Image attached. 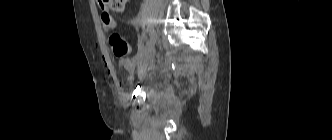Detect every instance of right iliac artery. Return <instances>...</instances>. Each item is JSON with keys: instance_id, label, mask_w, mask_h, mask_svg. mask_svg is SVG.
<instances>
[{"instance_id": "obj_1", "label": "right iliac artery", "mask_w": 332, "mask_h": 140, "mask_svg": "<svg viewBox=\"0 0 332 140\" xmlns=\"http://www.w3.org/2000/svg\"><path fill=\"white\" fill-rule=\"evenodd\" d=\"M147 41H148V35L144 34L142 37V40H141L139 52L137 53L135 59H139L142 56V54L147 46Z\"/></svg>"}]
</instances>
